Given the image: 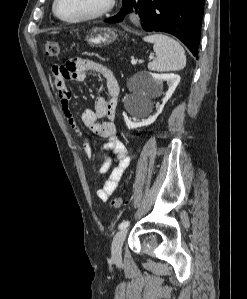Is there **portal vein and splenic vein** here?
Returning <instances> with one entry per match:
<instances>
[{"label":"portal vein and splenic vein","instance_id":"1","mask_svg":"<svg viewBox=\"0 0 247 299\" xmlns=\"http://www.w3.org/2000/svg\"><path fill=\"white\" fill-rule=\"evenodd\" d=\"M131 64H132V65L137 64V60H135L134 58H132V59H131Z\"/></svg>","mask_w":247,"mask_h":299}]
</instances>
